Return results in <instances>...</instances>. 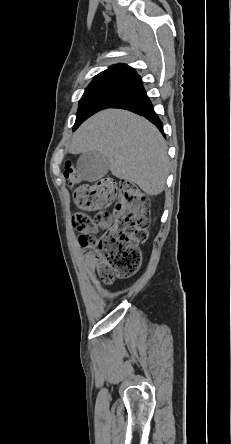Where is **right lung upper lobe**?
I'll return each mask as SVG.
<instances>
[{"label": "right lung upper lobe", "instance_id": "obj_1", "mask_svg": "<svg viewBox=\"0 0 231 444\" xmlns=\"http://www.w3.org/2000/svg\"><path fill=\"white\" fill-rule=\"evenodd\" d=\"M104 85L116 86L124 89L127 93L143 87L139 75L136 71L125 65H113L107 70L99 73L87 88H94Z\"/></svg>", "mask_w": 231, "mask_h": 444}]
</instances>
